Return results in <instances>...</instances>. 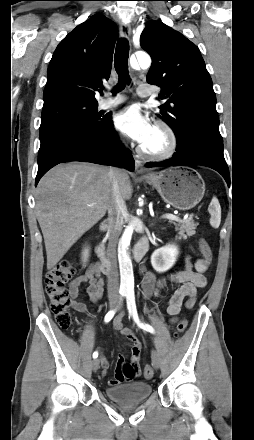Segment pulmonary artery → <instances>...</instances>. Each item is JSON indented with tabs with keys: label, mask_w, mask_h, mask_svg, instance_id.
Returning <instances> with one entry per match:
<instances>
[{
	"label": "pulmonary artery",
	"mask_w": 254,
	"mask_h": 440,
	"mask_svg": "<svg viewBox=\"0 0 254 440\" xmlns=\"http://www.w3.org/2000/svg\"><path fill=\"white\" fill-rule=\"evenodd\" d=\"M154 93V89L147 84H141L137 88V94L140 97L150 96ZM125 98L122 95H118L114 98L103 99L99 102L100 109H109L116 107L117 105L123 103Z\"/></svg>",
	"instance_id": "1"
}]
</instances>
